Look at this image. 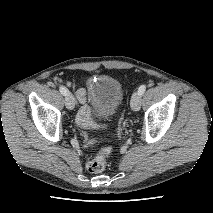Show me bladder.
Returning <instances> with one entry per match:
<instances>
[{
    "label": "bladder",
    "mask_w": 213,
    "mask_h": 213,
    "mask_svg": "<svg viewBox=\"0 0 213 213\" xmlns=\"http://www.w3.org/2000/svg\"><path fill=\"white\" fill-rule=\"evenodd\" d=\"M88 100L103 116H113L123 101V88L119 80L110 75L99 74L86 82Z\"/></svg>",
    "instance_id": "1"
}]
</instances>
